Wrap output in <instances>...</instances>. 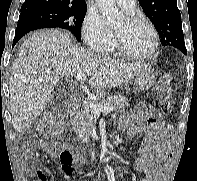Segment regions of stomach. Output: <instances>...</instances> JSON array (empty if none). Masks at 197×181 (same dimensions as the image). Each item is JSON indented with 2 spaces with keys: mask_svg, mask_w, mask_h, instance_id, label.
<instances>
[{
  "mask_svg": "<svg viewBox=\"0 0 197 181\" xmlns=\"http://www.w3.org/2000/svg\"><path fill=\"white\" fill-rule=\"evenodd\" d=\"M156 79V73L149 67L141 70L134 79L135 89L138 92L146 91L152 87Z\"/></svg>",
  "mask_w": 197,
  "mask_h": 181,
  "instance_id": "stomach-1",
  "label": "stomach"
}]
</instances>
